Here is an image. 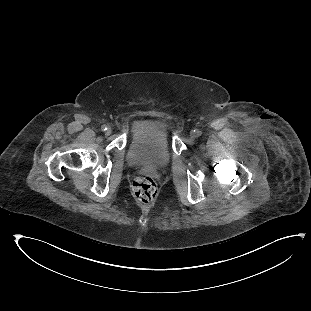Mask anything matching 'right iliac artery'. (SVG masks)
I'll use <instances>...</instances> for the list:
<instances>
[{
	"label": "right iliac artery",
	"mask_w": 311,
	"mask_h": 311,
	"mask_svg": "<svg viewBox=\"0 0 311 311\" xmlns=\"http://www.w3.org/2000/svg\"><path fill=\"white\" fill-rule=\"evenodd\" d=\"M101 130H102V131H106V130H107V126H106V125H102V126H101Z\"/></svg>",
	"instance_id": "1"
}]
</instances>
